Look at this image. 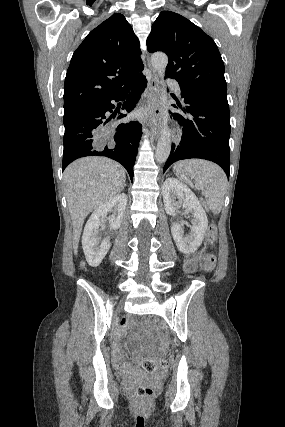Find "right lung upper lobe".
Segmentation results:
<instances>
[{
	"mask_svg": "<svg viewBox=\"0 0 285 427\" xmlns=\"http://www.w3.org/2000/svg\"><path fill=\"white\" fill-rule=\"evenodd\" d=\"M140 44L116 13L92 30L74 52L64 86V110L121 92L142 74Z\"/></svg>",
	"mask_w": 285,
	"mask_h": 427,
	"instance_id": "cb5924a9",
	"label": "right lung upper lobe"
}]
</instances>
